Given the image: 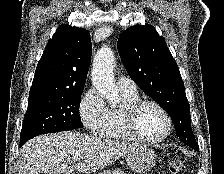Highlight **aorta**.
Wrapping results in <instances>:
<instances>
[{"label": "aorta", "mask_w": 224, "mask_h": 174, "mask_svg": "<svg viewBox=\"0 0 224 174\" xmlns=\"http://www.w3.org/2000/svg\"><path fill=\"white\" fill-rule=\"evenodd\" d=\"M115 58L111 48L104 46L95 55L91 73L92 83L111 105L120 101L114 81Z\"/></svg>", "instance_id": "obj_1"}]
</instances>
